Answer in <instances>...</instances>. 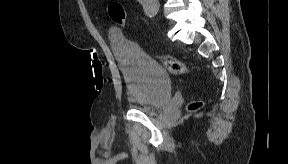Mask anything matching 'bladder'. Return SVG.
Segmentation results:
<instances>
[{
  "instance_id": "1",
  "label": "bladder",
  "mask_w": 288,
  "mask_h": 164,
  "mask_svg": "<svg viewBox=\"0 0 288 164\" xmlns=\"http://www.w3.org/2000/svg\"><path fill=\"white\" fill-rule=\"evenodd\" d=\"M111 43L122 67L132 107L151 114L166 106L171 99L172 89L164 68L117 34L111 35Z\"/></svg>"
}]
</instances>
